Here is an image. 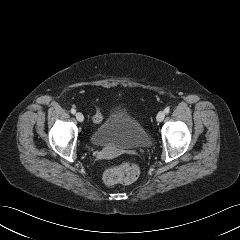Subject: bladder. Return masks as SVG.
<instances>
[{
    "instance_id": "bladder-1",
    "label": "bladder",
    "mask_w": 240,
    "mask_h": 240,
    "mask_svg": "<svg viewBox=\"0 0 240 240\" xmlns=\"http://www.w3.org/2000/svg\"><path fill=\"white\" fill-rule=\"evenodd\" d=\"M90 141L94 146L138 149L147 147L150 135L143 125L126 109L112 111L92 132Z\"/></svg>"
}]
</instances>
